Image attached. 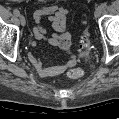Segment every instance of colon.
<instances>
[{"instance_id":"5ec220e1","label":"colon","mask_w":119,"mask_h":119,"mask_svg":"<svg viewBox=\"0 0 119 119\" xmlns=\"http://www.w3.org/2000/svg\"><path fill=\"white\" fill-rule=\"evenodd\" d=\"M80 56L81 57H86L89 53V42L87 41V39H84L82 41V44L80 45ZM83 70L81 68H71L67 71L66 73V76L69 78V79H73V80H76V79H79L83 76Z\"/></svg>"}]
</instances>
